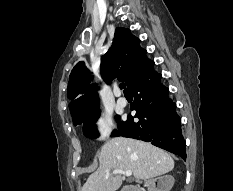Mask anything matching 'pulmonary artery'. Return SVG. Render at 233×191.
Instances as JSON below:
<instances>
[{
    "label": "pulmonary artery",
    "instance_id": "e3ab8cb5",
    "mask_svg": "<svg viewBox=\"0 0 233 191\" xmlns=\"http://www.w3.org/2000/svg\"><path fill=\"white\" fill-rule=\"evenodd\" d=\"M115 95L117 96V104L121 107H125L127 105V100L122 96L119 89H116Z\"/></svg>",
    "mask_w": 233,
    "mask_h": 191
}]
</instances>
